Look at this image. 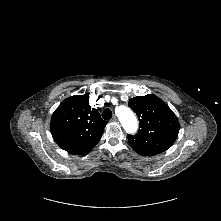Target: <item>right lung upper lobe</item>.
Wrapping results in <instances>:
<instances>
[{"mask_svg":"<svg viewBox=\"0 0 221 221\" xmlns=\"http://www.w3.org/2000/svg\"><path fill=\"white\" fill-rule=\"evenodd\" d=\"M107 122L89 105V94L65 99L51 118L55 142L70 154L85 155L99 142Z\"/></svg>","mask_w":221,"mask_h":221,"instance_id":"obj_1","label":"right lung upper lobe"}]
</instances>
